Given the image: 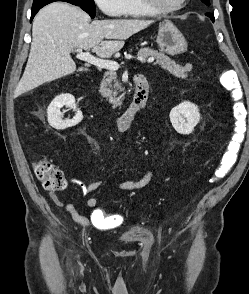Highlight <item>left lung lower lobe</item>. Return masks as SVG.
Instances as JSON below:
<instances>
[{"instance_id": "obj_1", "label": "left lung lower lobe", "mask_w": 249, "mask_h": 294, "mask_svg": "<svg viewBox=\"0 0 249 294\" xmlns=\"http://www.w3.org/2000/svg\"><path fill=\"white\" fill-rule=\"evenodd\" d=\"M206 15L212 20V22H214V15L213 14L207 13Z\"/></svg>"}]
</instances>
